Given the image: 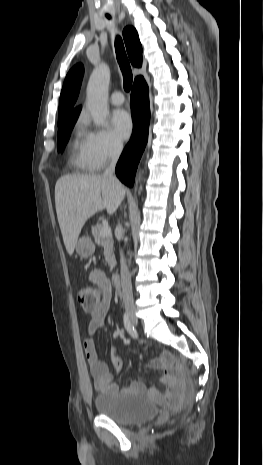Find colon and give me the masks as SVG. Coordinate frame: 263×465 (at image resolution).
<instances>
[{
    "instance_id": "obj_1",
    "label": "colon",
    "mask_w": 263,
    "mask_h": 465,
    "mask_svg": "<svg viewBox=\"0 0 263 465\" xmlns=\"http://www.w3.org/2000/svg\"><path fill=\"white\" fill-rule=\"evenodd\" d=\"M102 295L99 287L86 285L79 289L77 297L81 306L90 311L101 301Z\"/></svg>"
}]
</instances>
